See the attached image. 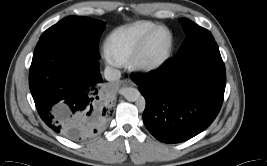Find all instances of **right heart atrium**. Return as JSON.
<instances>
[{"mask_svg": "<svg viewBox=\"0 0 267 166\" xmlns=\"http://www.w3.org/2000/svg\"><path fill=\"white\" fill-rule=\"evenodd\" d=\"M103 55L105 60L112 64V65H117L121 63L120 58L117 56V54L110 48L109 45H106L103 50Z\"/></svg>", "mask_w": 267, "mask_h": 166, "instance_id": "obj_1", "label": "right heart atrium"}]
</instances>
